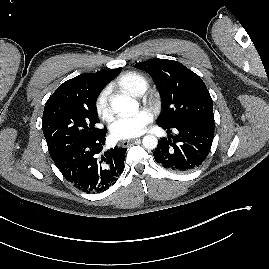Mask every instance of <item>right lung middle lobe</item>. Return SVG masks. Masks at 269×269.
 Segmentation results:
<instances>
[{"label": "right lung middle lobe", "mask_w": 269, "mask_h": 269, "mask_svg": "<svg viewBox=\"0 0 269 269\" xmlns=\"http://www.w3.org/2000/svg\"><path fill=\"white\" fill-rule=\"evenodd\" d=\"M98 95L82 93L47 100L42 130L52 159L72 144L93 139L105 130L96 127Z\"/></svg>", "instance_id": "obj_1"}]
</instances>
